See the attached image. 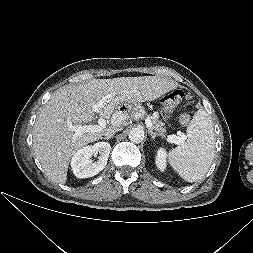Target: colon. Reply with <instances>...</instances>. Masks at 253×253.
<instances>
[{
    "label": "colon",
    "mask_w": 253,
    "mask_h": 253,
    "mask_svg": "<svg viewBox=\"0 0 253 253\" xmlns=\"http://www.w3.org/2000/svg\"><path fill=\"white\" fill-rule=\"evenodd\" d=\"M184 96V92L181 89H177L175 91H173L172 93H170L169 95H167L163 102L166 106V108L169 107H174L177 104H179V102L182 100ZM180 123L182 125H186L188 124L189 120H190V115L188 113H182L179 117Z\"/></svg>",
    "instance_id": "1"
}]
</instances>
